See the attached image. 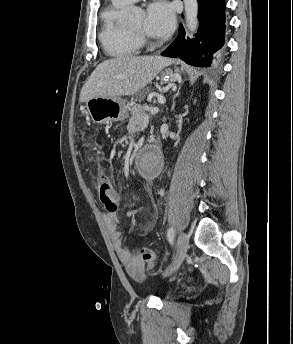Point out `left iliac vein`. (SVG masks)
<instances>
[{"mask_svg":"<svg viewBox=\"0 0 293 344\" xmlns=\"http://www.w3.org/2000/svg\"><path fill=\"white\" fill-rule=\"evenodd\" d=\"M189 244V236L186 233H181L178 238L177 248H176V257L174 262L164 271V276H169L173 274L181 265L184 260Z\"/></svg>","mask_w":293,"mask_h":344,"instance_id":"left-iliac-vein-1","label":"left iliac vein"}]
</instances>
